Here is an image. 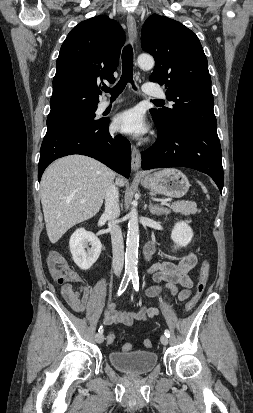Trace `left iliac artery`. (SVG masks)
I'll return each instance as SVG.
<instances>
[{
	"label": "left iliac artery",
	"instance_id": "44dca946",
	"mask_svg": "<svg viewBox=\"0 0 253 413\" xmlns=\"http://www.w3.org/2000/svg\"><path fill=\"white\" fill-rule=\"evenodd\" d=\"M132 283H133V287L135 289V291H139V278L137 274H133L132 275ZM165 336L170 337V332L169 330H165L164 332Z\"/></svg>",
	"mask_w": 253,
	"mask_h": 413
}]
</instances>
